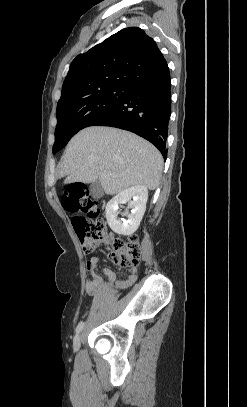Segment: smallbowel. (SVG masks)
I'll use <instances>...</instances> for the list:
<instances>
[{"label": "small bowel", "instance_id": "1", "mask_svg": "<svg viewBox=\"0 0 247 407\" xmlns=\"http://www.w3.org/2000/svg\"><path fill=\"white\" fill-rule=\"evenodd\" d=\"M108 239L104 240L107 243ZM98 257H91L86 264V268L90 273V278L86 284V291L89 295L95 296L99 294L102 288V279L95 273V269L98 266ZM104 274L108 277L109 285H115L118 288L124 289L131 286L137 280V268L132 266L128 268V276L124 280H116V274L109 268L103 269Z\"/></svg>", "mask_w": 247, "mask_h": 407}]
</instances>
